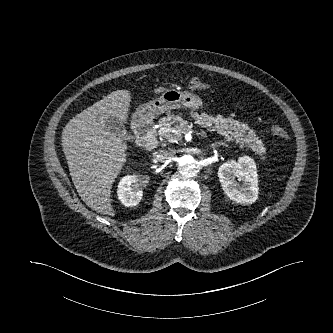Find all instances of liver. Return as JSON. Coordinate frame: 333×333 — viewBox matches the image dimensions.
Returning a JSON list of instances; mask_svg holds the SVG:
<instances>
[{"label": "liver", "instance_id": "1", "mask_svg": "<svg viewBox=\"0 0 333 333\" xmlns=\"http://www.w3.org/2000/svg\"><path fill=\"white\" fill-rule=\"evenodd\" d=\"M159 87L154 93L164 92ZM131 96L117 90L73 117L62 133V146L75 188L88 207L114 216L111 188L126 162L127 144L104 129L101 116L126 123Z\"/></svg>", "mask_w": 333, "mask_h": 333}]
</instances>
